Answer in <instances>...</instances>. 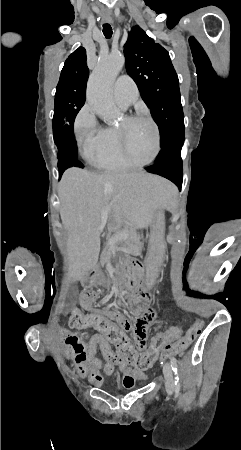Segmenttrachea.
Segmentation results:
<instances>
[{
    "label": "trachea",
    "instance_id": "1",
    "mask_svg": "<svg viewBox=\"0 0 241 450\" xmlns=\"http://www.w3.org/2000/svg\"><path fill=\"white\" fill-rule=\"evenodd\" d=\"M112 27L109 25V23H105L103 25V34L106 38H111L112 36Z\"/></svg>",
    "mask_w": 241,
    "mask_h": 450
}]
</instances>
